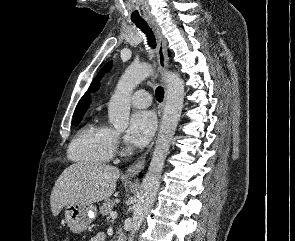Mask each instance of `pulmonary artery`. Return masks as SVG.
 <instances>
[{
    "mask_svg": "<svg viewBox=\"0 0 295 241\" xmlns=\"http://www.w3.org/2000/svg\"><path fill=\"white\" fill-rule=\"evenodd\" d=\"M130 101L137 108H146L151 104L152 98L146 90H138L131 95Z\"/></svg>",
    "mask_w": 295,
    "mask_h": 241,
    "instance_id": "pulmonary-artery-1",
    "label": "pulmonary artery"
}]
</instances>
